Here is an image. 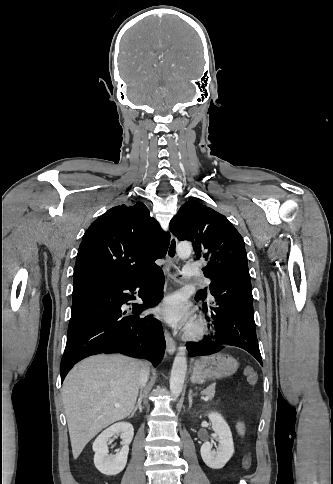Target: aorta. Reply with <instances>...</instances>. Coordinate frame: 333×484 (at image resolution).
Returning a JSON list of instances; mask_svg holds the SVG:
<instances>
[{"label": "aorta", "instance_id": "762f6f07", "mask_svg": "<svg viewBox=\"0 0 333 484\" xmlns=\"http://www.w3.org/2000/svg\"><path fill=\"white\" fill-rule=\"evenodd\" d=\"M176 252L180 258H187L191 255L192 246L188 242H181L177 245ZM186 371V348L184 346H180L174 358L170 376V391L172 395L176 397L182 392Z\"/></svg>", "mask_w": 333, "mask_h": 484}]
</instances>
